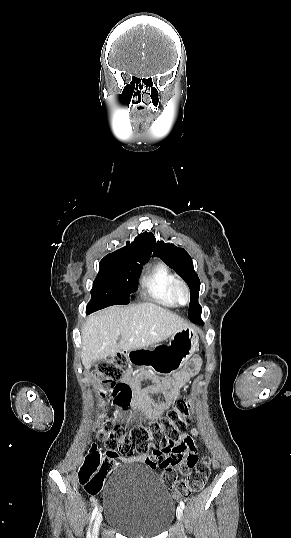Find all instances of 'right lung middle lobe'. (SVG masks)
I'll return each instance as SVG.
<instances>
[{
    "mask_svg": "<svg viewBox=\"0 0 291 538\" xmlns=\"http://www.w3.org/2000/svg\"><path fill=\"white\" fill-rule=\"evenodd\" d=\"M146 259L103 258L99 273L93 282L91 300L86 313L106 308L111 305H126L129 294L137 289V277Z\"/></svg>",
    "mask_w": 291,
    "mask_h": 538,
    "instance_id": "dd1d6c3e",
    "label": "right lung middle lobe"
}]
</instances>
